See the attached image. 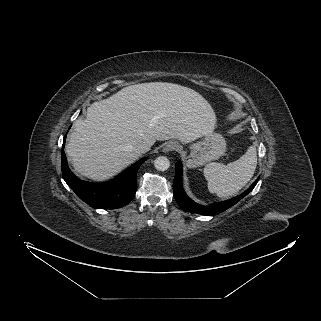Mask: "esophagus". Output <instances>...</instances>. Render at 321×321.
I'll return each mask as SVG.
<instances>
[{
    "mask_svg": "<svg viewBox=\"0 0 321 321\" xmlns=\"http://www.w3.org/2000/svg\"><path fill=\"white\" fill-rule=\"evenodd\" d=\"M179 148V144L178 142L176 141H169L165 144V146L163 147L162 151L164 153H168V152H171V151H174L176 149Z\"/></svg>",
    "mask_w": 321,
    "mask_h": 321,
    "instance_id": "34e87169",
    "label": "esophagus"
}]
</instances>
